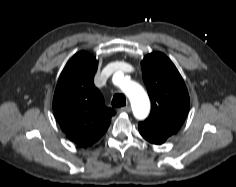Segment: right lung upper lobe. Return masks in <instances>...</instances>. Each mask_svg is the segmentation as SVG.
<instances>
[{"label": "right lung upper lobe", "mask_w": 236, "mask_h": 187, "mask_svg": "<svg viewBox=\"0 0 236 187\" xmlns=\"http://www.w3.org/2000/svg\"><path fill=\"white\" fill-rule=\"evenodd\" d=\"M97 67V60L89 53L75 54L60 75L53 98V111L61 129L84 148L100 139L116 114L105 106L93 83Z\"/></svg>", "instance_id": "1"}]
</instances>
